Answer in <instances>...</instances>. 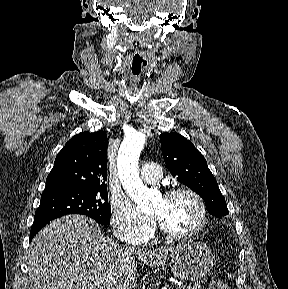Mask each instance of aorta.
<instances>
[{"mask_svg":"<svg viewBox=\"0 0 288 289\" xmlns=\"http://www.w3.org/2000/svg\"><path fill=\"white\" fill-rule=\"evenodd\" d=\"M145 142L144 136L135 132L125 138L120 146L117 160L118 175L129 197L142 212L154 208V194L139 177L138 160Z\"/></svg>","mask_w":288,"mask_h":289,"instance_id":"obj_1","label":"aorta"}]
</instances>
